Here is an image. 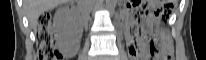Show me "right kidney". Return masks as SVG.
<instances>
[{
	"instance_id": "right-kidney-1",
	"label": "right kidney",
	"mask_w": 206,
	"mask_h": 60,
	"mask_svg": "<svg viewBox=\"0 0 206 60\" xmlns=\"http://www.w3.org/2000/svg\"><path fill=\"white\" fill-rule=\"evenodd\" d=\"M55 24L58 45L62 48L71 46L80 27L76 15L74 13L66 14L64 11H59L55 16Z\"/></svg>"
}]
</instances>
